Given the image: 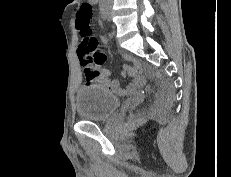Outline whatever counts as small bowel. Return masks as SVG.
Returning a JSON list of instances; mask_svg holds the SVG:
<instances>
[{
	"label": "small bowel",
	"instance_id": "obj_1",
	"mask_svg": "<svg viewBox=\"0 0 231 177\" xmlns=\"http://www.w3.org/2000/svg\"><path fill=\"white\" fill-rule=\"evenodd\" d=\"M95 3L96 2L92 0H88V4L90 5H93ZM76 24H77V18H76ZM103 41H108V38H103ZM122 75H129L133 77V81L126 88H122L120 86L119 78L114 77L113 73L107 69L97 70V75L95 76L89 77L86 75V81L88 84H98V85L105 86L109 90H112L119 95H128V94L136 93L140 89V87L145 83V78L142 75V68L140 64L136 61H133V65L124 66Z\"/></svg>",
	"mask_w": 231,
	"mask_h": 177
}]
</instances>
